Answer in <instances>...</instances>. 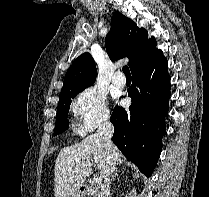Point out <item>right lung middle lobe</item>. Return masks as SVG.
<instances>
[{
	"instance_id": "1",
	"label": "right lung middle lobe",
	"mask_w": 209,
	"mask_h": 197,
	"mask_svg": "<svg viewBox=\"0 0 209 197\" xmlns=\"http://www.w3.org/2000/svg\"><path fill=\"white\" fill-rule=\"evenodd\" d=\"M87 87L89 86L72 88L63 92L60 95L56 114L54 134L62 133L69 128V124L67 122V114L71 104V99Z\"/></svg>"
}]
</instances>
